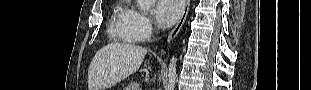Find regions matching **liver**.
Listing matches in <instances>:
<instances>
[{
	"label": "liver",
	"instance_id": "liver-1",
	"mask_svg": "<svg viewBox=\"0 0 311 90\" xmlns=\"http://www.w3.org/2000/svg\"><path fill=\"white\" fill-rule=\"evenodd\" d=\"M147 48L134 44L111 43L102 47L93 57L88 70V90H105L141 66Z\"/></svg>",
	"mask_w": 311,
	"mask_h": 90
}]
</instances>
